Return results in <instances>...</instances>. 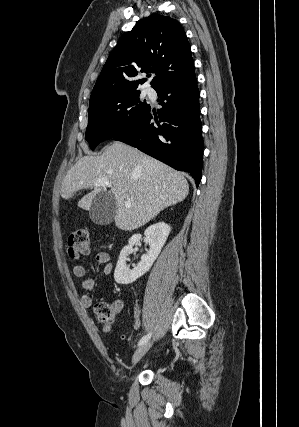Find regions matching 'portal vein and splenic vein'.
Segmentation results:
<instances>
[{
	"label": "portal vein and splenic vein",
	"mask_w": 299,
	"mask_h": 427,
	"mask_svg": "<svg viewBox=\"0 0 299 427\" xmlns=\"http://www.w3.org/2000/svg\"><path fill=\"white\" fill-rule=\"evenodd\" d=\"M95 186H111V185H110V183H109V181H108V180H106V179H101V180H99V181L95 184ZM124 205H125L127 208H130V207H131V203H130L129 201H125V202H124Z\"/></svg>",
	"instance_id": "portal-vein-and-splenic-vein-1"
}]
</instances>
